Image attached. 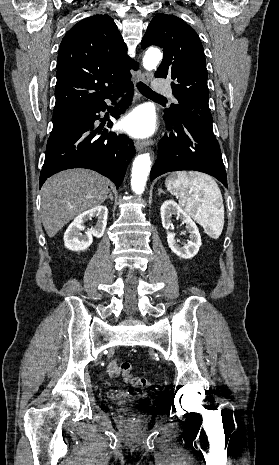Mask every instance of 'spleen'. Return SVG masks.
I'll list each match as a JSON object with an SVG mask.
<instances>
[{
	"label": "spleen",
	"instance_id": "obj_1",
	"mask_svg": "<svg viewBox=\"0 0 279 465\" xmlns=\"http://www.w3.org/2000/svg\"><path fill=\"white\" fill-rule=\"evenodd\" d=\"M165 185L170 193L179 197V205L210 237L219 238L224 226V205L221 191L212 177L179 171L170 174Z\"/></svg>",
	"mask_w": 279,
	"mask_h": 465
}]
</instances>
